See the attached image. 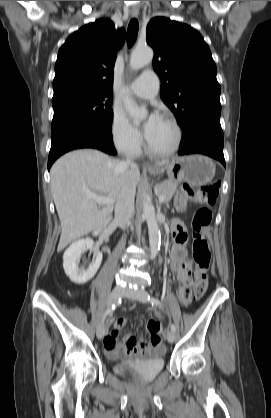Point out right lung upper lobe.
<instances>
[{
    "label": "right lung upper lobe",
    "mask_w": 271,
    "mask_h": 418,
    "mask_svg": "<svg viewBox=\"0 0 271 418\" xmlns=\"http://www.w3.org/2000/svg\"><path fill=\"white\" fill-rule=\"evenodd\" d=\"M124 29L99 19L71 34L58 52L52 101L81 94H111L116 50Z\"/></svg>",
    "instance_id": "obj_1"
}]
</instances>
